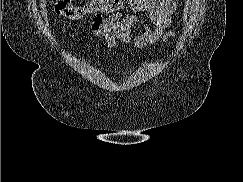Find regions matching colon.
<instances>
[{
    "mask_svg": "<svg viewBox=\"0 0 243 182\" xmlns=\"http://www.w3.org/2000/svg\"><path fill=\"white\" fill-rule=\"evenodd\" d=\"M55 12L70 20H81L87 16L114 13L121 10L129 0H90L83 5H75L72 0H52Z\"/></svg>",
    "mask_w": 243,
    "mask_h": 182,
    "instance_id": "colon-1",
    "label": "colon"
}]
</instances>
